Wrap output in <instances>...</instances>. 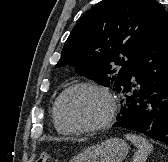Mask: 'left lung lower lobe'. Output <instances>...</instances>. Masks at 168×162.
<instances>
[{
	"mask_svg": "<svg viewBox=\"0 0 168 162\" xmlns=\"http://www.w3.org/2000/svg\"><path fill=\"white\" fill-rule=\"evenodd\" d=\"M135 77L138 85L130 80ZM138 91L134 90L135 87ZM118 92L124 95L114 127L143 133L168 145V17L136 56Z\"/></svg>",
	"mask_w": 168,
	"mask_h": 162,
	"instance_id": "1",
	"label": "left lung lower lobe"
}]
</instances>
